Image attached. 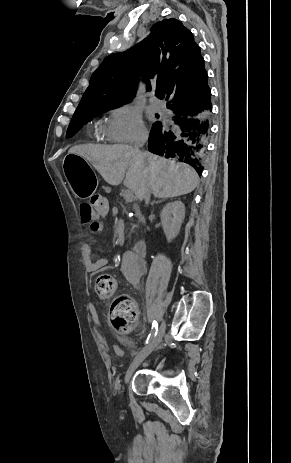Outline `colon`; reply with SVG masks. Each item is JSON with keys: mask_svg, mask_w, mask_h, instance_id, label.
I'll return each instance as SVG.
<instances>
[{"mask_svg": "<svg viewBox=\"0 0 291 463\" xmlns=\"http://www.w3.org/2000/svg\"><path fill=\"white\" fill-rule=\"evenodd\" d=\"M80 210L86 222L90 221L91 216L107 217L108 209L104 198L100 196L93 197L89 203L81 205ZM117 282L114 276L110 274L99 275L95 280V292L102 299H111L109 308L110 320L118 332H130L138 317L135 303L126 297L115 296Z\"/></svg>", "mask_w": 291, "mask_h": 463, "instance_id": "obj_1", "label": "colon"}]
</instances>
